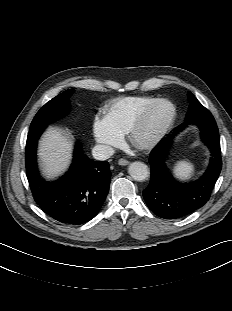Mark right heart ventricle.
<instances>
[{"label":"right heart ventricle","mask_w":232,"mask_h":311,"mask_svg":"<svg viewBox=\"0 0 232 311\" xmlns=\"http://www.w3.org/2000/svg\"><path fill=\"white\" fill-rule=\"evenodd\" d=\"M157 98L152 96H128L114 100L106 109L104 119L118 135L127 134L140 112Z\"/></svg>","instance_id":"e07e8e85"}]
</instances>
